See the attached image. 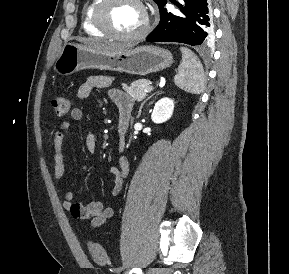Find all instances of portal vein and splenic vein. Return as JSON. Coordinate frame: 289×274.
<instances>
[{"label": "portal vein and splenic vein", "instance_id": "obj_1", "mask_svg": "<svg viewBox=\"0 0 289 274\" xmlns=\"http://www.w3.org/2000/svg\"><path fill=\"white\" fill-rule=\"evenodd\" d=\"M152 90H153V87L150 86V87H148V88L145 90V92H150V91H152Z\"/></svg>", "mask_w": 289, "mask_h": 274}]
</instances>
